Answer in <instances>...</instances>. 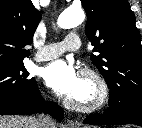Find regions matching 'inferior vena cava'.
I'll return each mask as SVG.
<instances>
[{
  "label": "inferior vena cava",
  "instance_id": "obj_1",
  "mask_svg": "<svg viewBox=\"0 0 142 128\" xmlns=\"http://www.w3.org/2000/svg\"><path fill=\"white\" fill-rule=\"evenodd\" d=\"M36 128H55V124L50 116L40 114L36 118Z\"/></svg>",
  "mask_w": 142,
  "mask_h": 128
}]
</instances>
